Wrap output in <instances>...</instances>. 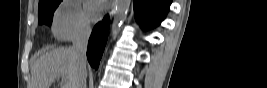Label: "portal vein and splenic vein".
I'll list each match as a JSON object with an SVG mask.
<instances>
[{"mask_svg": "<svg viewBox=\"0 0 267 88\" xmlns=\"http://www.w3.org/2000/svg\"><path fill=\"white\" fill-rule=\"evenodd\" d=\"M65 80V76L62 75V81ZM64 88H67V86H64Z\"/></svg>", "mask_w": 267, "mask_h": 88, "instance_id": "18ae733b", "label": "portal vein and splenic vein"}]
</instances>
